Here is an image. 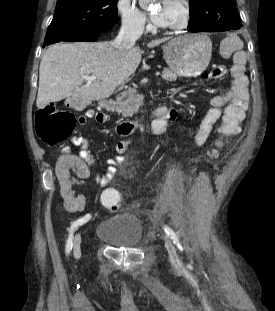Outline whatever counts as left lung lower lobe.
Returning <instances> with one entry per match:
<instances>
[{"mask_svg": "<svg viewBox=\"0 0 275 311\" xmlns=\"http://www.w3.org/2000/svg\"><path fill=\"white\" fill-rule=\"evenodd\" d=\"M231 29L223 28L215 24L205 25V26H194L190 27L189 31L191 32H219V31H228Z\"/></svg>", "mask_w": 275, "mask_h": 311, "instance_id": "obj_1", "label": "left lung lower lobe"}]
</instances>
